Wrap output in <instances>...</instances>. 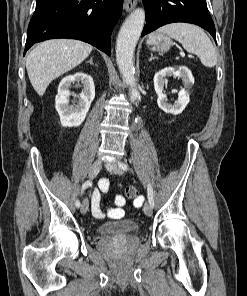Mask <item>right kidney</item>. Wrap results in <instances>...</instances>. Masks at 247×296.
<instances>
[{
	"label": "right kidney",
	"instance_id": "1",
	"mask_svg": "<svg viewBox=\"0 0 247 296\" xmlns=\"http://www.w3.org/2000/svg\"><path fill=\"white\" fill-rule=\"evenodd\" d=\"M82 83L83 90L80 93L77 105H69V98L72 94L69 88L72 83ZM95 97V86L93 78L83 72H76L64 77L59 86L58 93L55 97V107L60 116V121L64 127L80 126L86 118L91 102Z\"/></svg>",
	"mask_w": 247,
	"mask_h": 296
}]
</instances>
